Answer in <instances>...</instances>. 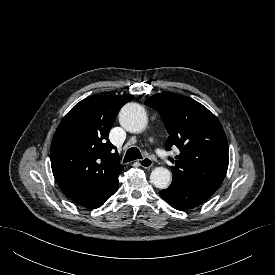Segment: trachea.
<instances>
[{"label":"trachea","instance_id":"1","mask_svg":"<svg viewBox=\"0 0 275 275\" xmlns=\"http://www.w3.org/2000/svg\"><path fill=\"white\" fill-rule=\"evenodd\" d=\"M136 159H142L141 152L136 147H131L127 150L123 162H130Z\"/></svg>","mask_w":275,"mask_h":275}]
</instances>
